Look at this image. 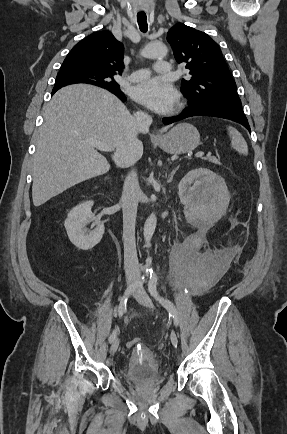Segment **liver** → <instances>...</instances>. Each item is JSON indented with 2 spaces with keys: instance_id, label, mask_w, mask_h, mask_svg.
<instances>
[{
  "instance_id": "obj_1",
  "label": "liver",
  "mask_w": 287,
  "mask_h": 434,
  "mask_svg": "<svg viewBox=\"0 0 287 434\" xmlns=\"http://www.w3.org/2000/svg\"><path fill=\"white\" fill-rule=\"evenodd\" d=\"M135 118L112 93L90 85L58 90L44 111L33 165L32 199L39 207L52 197L110 170L91 141L111 145L113 161L128 167L143 155Z\"/></svg>"
}]
</instances>
